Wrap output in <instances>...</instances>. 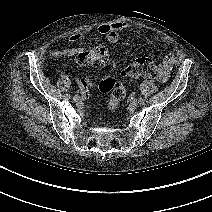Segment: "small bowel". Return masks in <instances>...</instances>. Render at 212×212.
<instances>
[{
  "instance_id": "c3829d8e",
  "label": "small bowel",
  "mask_w": 212,
  "mask_h": 212,
  "mask_svg": "<svg viewBox=\"0 0 212 212\" xmlns=\"http://www.w3.org/2000/svg\"><path fill=\"white\" fill-rule=\"evenodd\" d=\"M133 28L130 24L124 22H114L109 24H102L97 27L96 31L105 35L108 41L114 43L119 39V35L123 30ZM84 35L81 33H74L70 36L69 40L72 43H77L83 39ZM83 51L80 47L66 48L61 50L51 51V56L53 57H71L79 55ZM174 55L168 53L164 56L161 63V74L159 80L162 82L167 81L169 77L170 70L174 64ZM78 85L83 93H86L89 88L93 86L92 80L88 76H81L77 79Z\"/></svg>"
}]
</instances>
